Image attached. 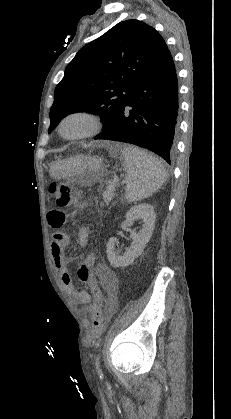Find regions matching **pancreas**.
Instances as JSON below:
<instances>
[{"instance_id": "pancreas-1", "label": "pancreas", "mask_w": 231, "mask_h": 419, "mask_svg": "<svg viewBox=\"0 0 231 419\" xmlns=\"http://www.w3.org/2000/svg\"><path fill=\"white\" fill-rule=\"evenodd\" d=\"M103 195V201L106 204H109V202L113 199L114 197V189H109L106 188V190L102 193Z\"/></svg>"}]
</instances>
